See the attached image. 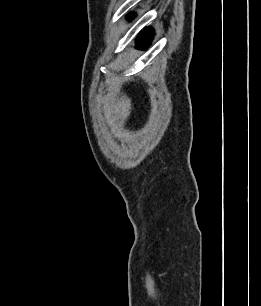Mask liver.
Here are the masks:
<instances>
[{
    "label": "liver",
    "mask_w": 261,
    "mask_h": 306,
    "mask_svg": "<svg viewBox=\"0 0 261 306\" xmlns=\"http://www.w3.org/2000/svg\"><path fill=\"white\" fill-rule=\"evenodd\" d=\"M130 110L131 100L128 97L120 98L117 103L114 100H111V107L105 111L108 126L111 129H115L119 120L123 122L130 115ZM109 113L113 114L112 118L107 117Z\"/></svg>",
    "instance_id": "1"
}]
</instances>
